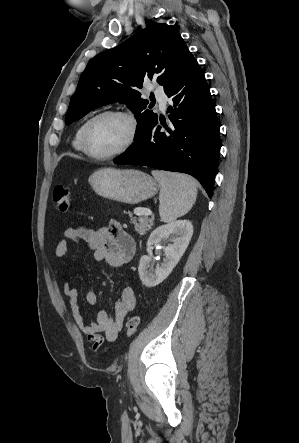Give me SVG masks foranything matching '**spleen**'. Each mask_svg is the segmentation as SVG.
Masks as SVG:
<instances>
[{"instance_id": "1", "label": "spleen", "mask_w": 299, "mask_h": 443, "mask_svg": "<svg viewBox=\"0 0 299 443\" xmlns=\"http://www.w3.org/2000/svg\"><path fill=\"white\" fill-rule=\"evenodd\" d=\"M160 184L159 213L163 222H173L185 215L197 197L195 181L183 174L152 171Z\"/></svg>"}]
</instances>
